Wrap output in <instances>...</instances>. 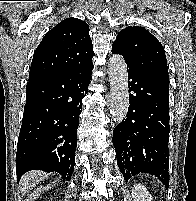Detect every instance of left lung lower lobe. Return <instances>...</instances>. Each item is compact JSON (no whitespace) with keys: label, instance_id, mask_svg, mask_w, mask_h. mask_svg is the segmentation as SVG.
Here are the masks:
<instances>
[{"label":"left lung lower lobe","instance_id":"left-lung-lower-lobe-1","mask_svg":"<svg viewBox=\"0 0 196 201\" xmlns=\"http://www.w3.org/2000/svg\"><path fill=\"white\" fill-rule=\"evenodd\" d=\"M127 68L130 105L112 139L117 165L127 181L139 173H149L168 188L169 84L132 66Z\"/></svg>","mask_w":196,"mask_h":201}]
</instances>
